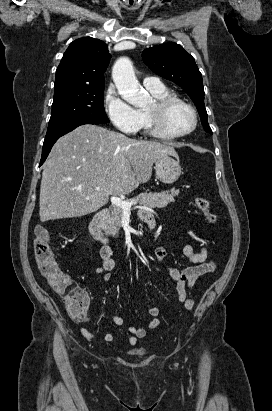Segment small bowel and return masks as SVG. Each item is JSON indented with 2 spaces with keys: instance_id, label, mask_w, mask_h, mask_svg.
<instances>
[{
  "instance_id": "c3829d8e",
  "label": "small bowel",
  "mask_w": 272,
  "mask_h": 411,
  "mask_svg": "<svg viewBox=\"0 0 272 411\" xmlns=\"http://www.w3.org/2000/svg\"><path fill=\"white\" fill-rule=\"evenodd\" d=\"M150 216L151 214L146 210L139 211V218L146 222L150 229H153L155 227V222L152 225L148 223V218ZM154 254L157 261L162 263L167 255V251L164 247H157ZM183 254L193 263V265L184 269L168 266L166 267V271L176 284L178 302L183 304L185 309L191 310L194 308L195 302L188 296V290L203 276L213 272L215 263L207 260L208 251L205 247H202L199 251H195L191 245H185L183 247ZM100 257L101 265L95 269V272L104 282H109L111 280V273L116 267L115 260L112 257L111 247L102 246L100 249ZM188 303H190V307H187ZM148 314L151 319L148 321L146 328L135 326L128 327L130 336L127 337L126 344L129 347H134L137 344L138 339L145 337L147 329L153 330L160 326L159 308L156 306L150 307L148 309ZM111 320L117 326H122L124 324V319L118 315H112ZM80 334L90 341L96 339L95 335L86 328H81ZM102 339L104 342L110 343L114 340V336L111 333H106L103 335Z\"/></svg>"
}]
</instances>
